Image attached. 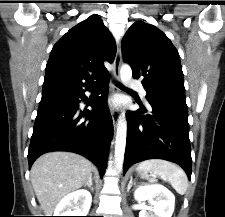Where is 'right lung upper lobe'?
<instances>
[{
	"mask_svg": "<svg viewBox=\"0 0 225 217\" xmlns=\"http://www.w3.org/2000/svg\"><path fill=\"white\" fill-rule=\"evenodd\" d=\"M116 54L113 37L97 16L71 28L54 45L46 65L42 98L73 95L92 88Z\"/></svg>",
	"mask_w": 225,
	"mask_h": 217,
	"instance_id": "cb5924a9",
	"label": "right lung upper lobe"
}]
</instances>
